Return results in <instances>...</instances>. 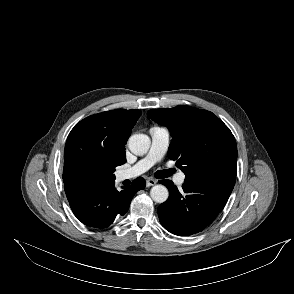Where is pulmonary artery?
Listing matches in <instances>:
<instances>
[{
	"label": "pulmonary artery",
	"instance_id": "e3ab8cb5",
	"mask_svg": "<svg viewBox=\"0 0 294 294\" xmlns=\"http://www.w3.org/2000/svg\"><path fill=\"white\" fill-rule=\"evenodd\" d=\"M150 134L151 146L148 153L133 166L120 170L117 174L119 180L132 179L145 173L165 156L170 144L169 130L165 127L154 126L150 129ZM185 177V173L179 172L174 177L175 183L182 185Z\"/></svg>",
	"mask_w": 294,
	"mask_h": 294
}]
</instances>
